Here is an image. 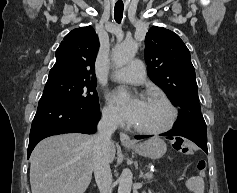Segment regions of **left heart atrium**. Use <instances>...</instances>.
<instances>
[{
	"instance_id": "obj_1",
	"label": "left heart atrium",
	"mask_w": 237,
	"mask_h": 193,
	"mask_svg": "<svg viewBox=\"0 0 237 193\" xmlns=\"http://www.w3.org/2000/svg\"><path fill=\"white\" fill-rule=\"evenodd\" d=\"M111 101L130 123L135 122L143 104V101L138 98H129L124 88L116 89L111 95Z\"/></svg>"
}]
</instances>
